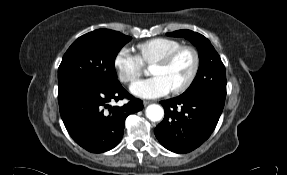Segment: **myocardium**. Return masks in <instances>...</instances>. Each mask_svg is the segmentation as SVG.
Returning a JSON list of instances; mask_svg holds the SVG:
<instances>
[{"instance_id": "obj_1", "label": "myocardium", "mask_w": 287, "mask_h": 175, "mask_svg": "<svg viewBox=\"0 0 287 175\" xmlns=\"http://www.w3.org/2000/svg\"><path fill=\"white\" fill-rule=\"evenodd\" d=\"M184 51H188L193 56V68L188 76V78L185 80L184 83H182L177 88L173 89L171 92L173 94H181L185 92L187 89L191 87V85L194 83L200 69V55L198 50L191 46V45H181L177 47L176 49L168 52L164 56L160 57L154 62V65H168L170 64L179 54H181Z\"/></svg>"}]
</instances>
